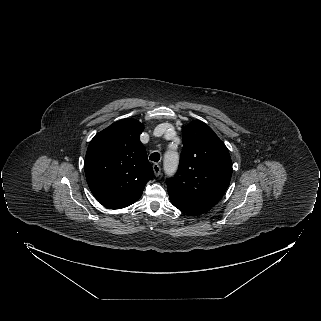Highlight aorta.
Returning <instances> with one entry per match:
<instances>
[{"label": "aorta", "mask_w": 321, "mask_h": 321, "mask_svg": "<svg viewBox=\"0 0 321 321\" xmlns=\"http://www.w3.org/2000/svg\"><path fill=\"white\" fill-rule=\"evenodd\" d=\"M179 155L175 151H167L164 155V170L169 176L173 175L178 168Z\"/></svg>", "instance_id": "762f6f07"}]
</instances>
